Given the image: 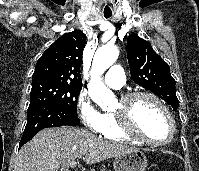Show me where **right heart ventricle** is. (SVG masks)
<instances>
[{
	"label": "right heart ventricle",
	"mask_w": 199,
	"mask_h": 171,
	"mask_svg": "<svg viewBox=\"0 0 199 171\" xmlns=\"http://www.w3.org/2000/svg\"><path fill=\"white\" fill-rule=\"evenodd\" d=\"M104 126L101 130V134L113 141H133L134 139L123 133L117 123L115 115L111 112L104 114Z\"/></svg>",
	"instance_id": "right-heart-ventricle-1"
}]
</instances>
